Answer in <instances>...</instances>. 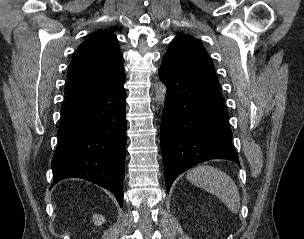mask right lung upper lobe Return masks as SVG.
Returning a JSON list of instances; mask_svg holds the SVG:
<instances>
[{
    "label": "right lung upper lobe",
    "instance_id": "cb5924a9",
    "mask_svg": "<svg viewBox=\"0 0 304 239\" xmlns=\"http://www.w3.org/2000/svg\"><path fill=\"white\" fill-rule=\"evenodd\" d=\"M125 73L116 36L108 30L83 42L70 63L65 103L85 97Z\"/></svg>",
    "mask_w": 304,
    "mask_h": 239
}]
</instances>
